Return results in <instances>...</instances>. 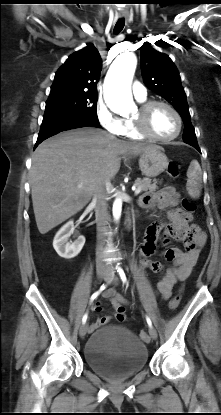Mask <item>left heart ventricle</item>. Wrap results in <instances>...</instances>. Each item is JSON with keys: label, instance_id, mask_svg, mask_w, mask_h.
I'll use <instances>...</instances> for the list:
<instances>
[{"label": "left heart ventricle", "instance_id": "obj_1", "mask_svg": "<svg viewBox=\"0 0 221 415\" xmlns=\"http://www.w3.org/2000/svg\"><path fill=\"white\" fill-rule=\"evenodd\" d=\"M138 114H135V116ZM150 130L157 136L169 137L175 134L177 130V120L173 113L164 106H155L148 119Z\"/></svg>", "mask_w": 221, "mask_h": 415}]
</instances>
